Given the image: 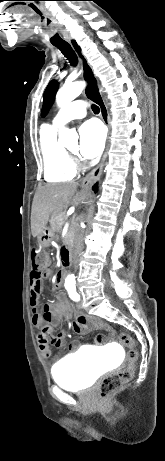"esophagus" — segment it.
<instances>
[{"instance_id":"34e87169","label":"esophagus","mask_w":165,"mask_h":461,"mask_svg":"<svg viewBox=\"0 0 165 461\" xmlns=\"http://www.w3.org/2000/svg\"><path fill=\"white\" fill-rule=\"evenodd\" d=\"M69 43H70V45L72 46V48L75 50V52L77 53V55L79 57V61L81 63V68H82V75H83L84 80L86 81V83L88 85H90V84L97 85L98 79L94 75V72H93L90 64L88 63L87 59L82 54L81 48H80L78 42L76 40H74V39H70ZM87 67H89L91 69V71H92L93 80L87 78V76H86ZM88 90L89 89L86 90V94L88 93ZM98 93L100 94L101 99H102V102L99 103L100 114H101V118H102L103 122L105 123V125L108 128V137H107V143H106L105 151H104V154L102 156L101 162L81 182V186L86 187V188L91 187L100 178V175L102 173V169H103V166H104V162H105V159L107 157V152H108V149H109V136H110V132H111L109 114H108L107 105L105 103V100L103 98V95H102L100 89L98 90Z\"/></svg>"}]
</instances>
